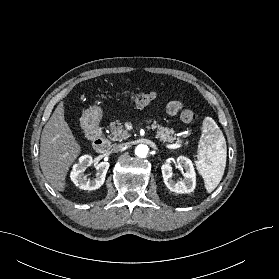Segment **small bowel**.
<instances>
[{"label":"small bowel","mask_w":279,"mask_h":279,"mask_svg":"<svg viewBox=\"0 0 279 279\" xmlns=\"http://www.w3.org/2000/svg\"><path fill=\"white\" fill-rule=\"evenodd\" d=\"M183 108V104L181 101L173 100L170 101L166 106V112L173 116L176 115Z\"/></svg>","instance_id":"1"}]
</instances>
